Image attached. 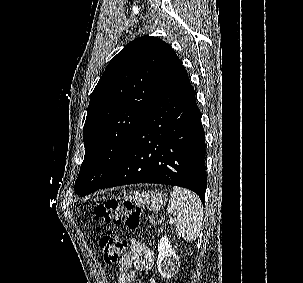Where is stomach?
<instances>
[{
    "mask_svg": "<svg viewBox=\"0 0 303 283\" xmlns=\"http://www.w3.org/2000/svg\"><path fill=\"white\" fill-rule=\"evenodd\" d=\"M130 202L135 203L137 206L148 208L149 210L159 211L166 205L167 196L160 191L150 192H134L127 198Z\"/></svg>",
    "mask_w": 303,
    "mask_h": 283,
    "instance_id": "stomach-1",
    "label": "stomach"
}]
</instances>
